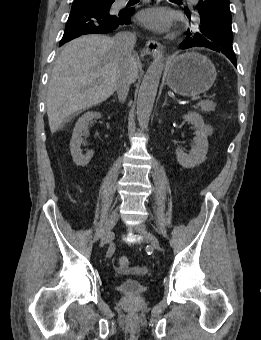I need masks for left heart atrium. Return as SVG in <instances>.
<instances>
[{
    "label": "left heart atrium",
    "instance_id": "left-heart-atrium-1",
    "mask_svg": "<svg viewBox=\"0 0 261 340\" xmlns=\"http://www.w3.org/2000/svg\"><path fill=\"white\" fill-rule=\"evenodd\" d=\"M140 21L144 26L153 31L163 32L170 27L171 17L168 10L153 8L144 10L140 14Z\"/></svg>",
    "mask_w": 261,
    "mask_h": 340
}]
</instances>
